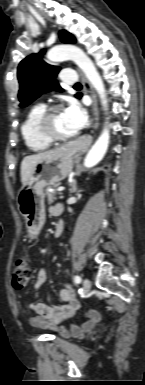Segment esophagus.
<instances>
[{"label":"esophagus","instance_id":"esophagus-1","mask_svg":"<svg viewBox=\"0 0 145 385\" xmlns=\"http://www.w3.org/2000/svg\"><path fill=\"white\" fill-rule=\"evenodd\" d=\"M80 76H81V81L83 83L84 88L90 93L92 97L93 128L96 130L98 127V120H99L97 97L92 86L90 85V83L88 82V80L86 79V77L82 72H80Z\"/></svg>","mask_w":145,"mask_h":385}]
</instances>
